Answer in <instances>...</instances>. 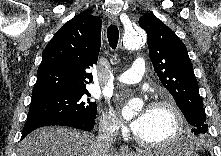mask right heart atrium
Instances as JSON below:
<instances>
[{
  "label": "right heart atrium",
  "mask_w": 221,
  "mask_h": 156,
  "mask_svg": "<svg viewBox=\"0 0 221 156\" xmlns=\"http://www.w3.org/2000/svg\"><path fill=\"white\" fill-rule=\"evenodd\" d=\"M100 129L104 134L110 136L117 135L124 131V127L110 110H105L102 112L100 117Z\"/></svg>",
  "instance_id": "1"
}]
</instances>
